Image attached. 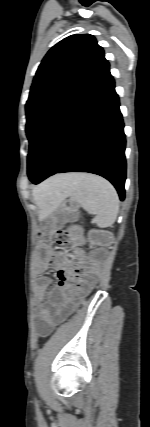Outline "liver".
Instances as JSON below:
<instances>
[{
  "instance_id": "obj_1",
  "label": "liver",
  "mask_w": 150,
  "mask_h": 427,
  "mask_svg": "<svg viewBox=\"0 0 150 427\" xmlns=\"http://www.w3.org/2000/svg\"><path fill=\"white\" fill-rule=\"evenodd\" d=\"M66 177V175L54 176L43 182L38 187L34 188L33 196L35 198L36 204L42 211L49 209L51 204L59 201V199L50 198L47 195V190L55 184H60L64 179H66Z\"/></svg>"
}]
</instances>
